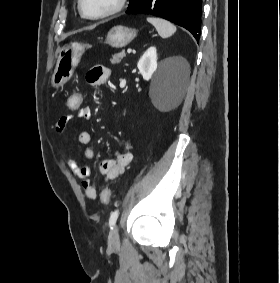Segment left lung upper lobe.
<instances>
[{
    "instance_id": "1",
    "label": "left lung upper lobe",
    "mask_w": 280,
    "mask_h": 283,
    "mask_svg": "<svg viewBox=\"0 0 280 283\" xmlns=\"http://www.w3.org/2000/svg\"><path fill=\"white\" fill-rule=\"evenodd\" d=\"M136 1H137V0H130V2H129V7H130L131 5H133Z\"/></svg>"
}]
</instances>
